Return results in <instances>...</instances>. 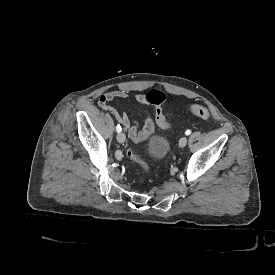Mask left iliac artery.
<instances>
[{
    "mask_svg": "<svg viewBox=\"0 0 275 275\" xmlns=\"http://www.w3.org/2000/svg\"><path fill=\"white\" fill-rule=\"evenodd\" d=\"M191 134V130H186L185 135H190Z\"/></svg>",
    "mask_w": 275,
    "mask_h": 275,
    "instance_id": "1",
    "label": "left iliac artery"
}]
</instances>
